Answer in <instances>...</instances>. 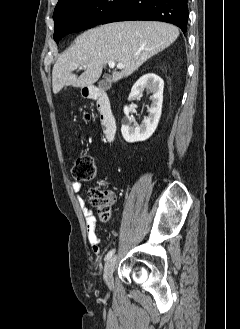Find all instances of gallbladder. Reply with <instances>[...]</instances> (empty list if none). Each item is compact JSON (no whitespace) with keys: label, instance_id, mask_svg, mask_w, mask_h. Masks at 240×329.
Listing matches in <instances>:
<instances>
[{"label":"gallbladder","instance_id":"bac80fb5","mask_svg":"<svg viewBox=\"0 0 240 329\" xmlns=\"http://www.w3.org/2000/svg\"><path fill=\"white\" fill-rule=\"evenodd\" d=\"M98 87L100 90H104V91L108 90L110 88L109 80L107 78L101 80L98 84Z\"/></svg>","mask_w":240,"mask_h":329}]
</instances>
